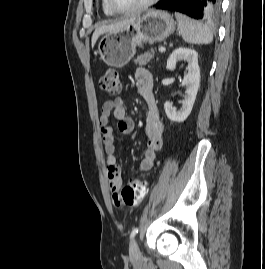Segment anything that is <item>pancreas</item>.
I'll list each match as a JSON object with an SVG mask.
<instances>
[{"label":"pancreas","mask_w":265,"mask_h":269,"mask_svg":"<svg viewBox=\"0 0 265 269\" xmlns=\"http://www.w3.org/2000/svg\"><path fill=\"white\" fill-rule=\"evenodd\" d=\"M155 51L153 49H150V51L145 52L144 54L137 57L135 60L136 64H139L140 66L146 65L151 59L154 58Z\"/></svg>","instance_id":"pancreas-1"}]
</instances>
